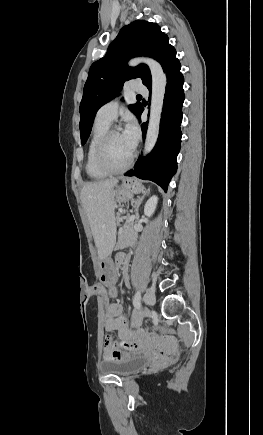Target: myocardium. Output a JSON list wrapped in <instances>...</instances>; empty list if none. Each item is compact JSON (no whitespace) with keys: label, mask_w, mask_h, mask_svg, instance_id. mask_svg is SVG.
Segmentation results:
<instances>
[{"label":"myocardium","mask_w":263,"mask_h":435,"mask_svg":"<svg viewBox=\"0 0 263 435\" xmlns=\"http://www.w3.org/2000/svg\"><path fill=\"white\" fill-rule=\"evenodd\" d=\"M118 133H120L118 128H109L101 137L95 151V163L97 167L108 174H118L126 171L132 165L135 158V151L133 150L128 161L124 165L120 167H113L108 163L106 159L107 147L111 137Z\"/></svg>","instance_id":"f54148a6"}]
</instances>
